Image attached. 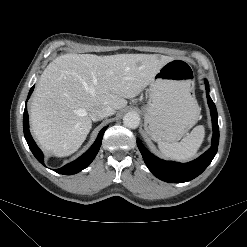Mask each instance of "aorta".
<instances>
[{"label": "aorta", "instance_id": "obj_1", "mask_svg": "<svg viewBox=\"0 0 247 247\" xmlns=\"http://www.w3.org/2000/svg\"><path fill=\"white\" fill-rule=\"evenodd\" d=\"M123 124L127 128L135 129L140 124V116L136 112H128L123 117Z\"/></svg>", "mask_w": 247, "mask_h": 247}]
</instances>
